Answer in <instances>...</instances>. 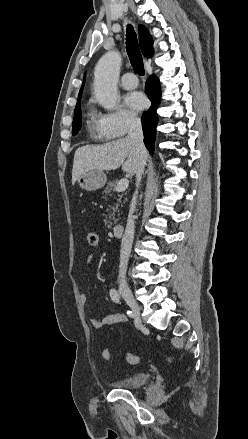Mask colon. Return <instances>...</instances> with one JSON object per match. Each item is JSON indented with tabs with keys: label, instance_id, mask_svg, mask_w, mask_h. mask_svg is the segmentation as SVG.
<instances>
[{
	"label": "colon",
	"instance_id": "5ec220e1",
	"mask_svg": "<svg viewBox=\"0 0 248 439\" xmlns=\"http://www.w3.org/2000/svg\"><path fill=\"white\" fill-rule=\"evenodd\" d=\"M85 239L86 242L89 246L91 247H95L99 244V237L98 234L95 231H87L85 233ZM102 357L105 360H110L111 359V353L110 350L105 348L102 350ZM125 360L129 363V364H136L138 362V357L131 354V353H126L125 354Z\"/></svg>",
	"mask_w": 248,
	"mask_h": 439
}]
</instances>
